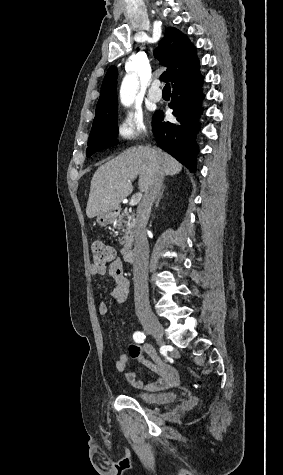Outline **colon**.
I'll return each mask as SVG.
<instances>
[{"label":"colon","mask_w":283,"mask_h":475,"mask_svg":"<svg viewBox=\"0 0 283 475\" xmlns=\"http://www.w3.org/2000/svg\"><path fill=\"white\" fill-rule=\"evenodd\" d=\"M90 251L94 258L96 266L104 264L113 265L115 259V251L112 247L104 245L102 242H94L91 245Z\"/></svg>","instance_id":"5ec220e1"}]
</instances>
